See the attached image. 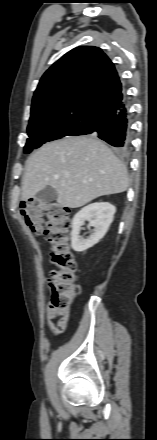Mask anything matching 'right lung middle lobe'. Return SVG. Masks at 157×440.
<instances>
[{"mask_svg":"<svg viewBox=\"0 0 157 440\" xmlns=\"http://www.w3.org/2000/svg\"><path fill=\"white\" fill-rule=\"evenodd\" d=\"M27 133L29 138L24 147L26 154L48 141L87 134L84 123L46 120L29 121Z\"/></svg>","mask_w":157,"mask_h":440,"instance_id":"dd1d6c3e","label":"right lung middle lobe"}]
</instances>
